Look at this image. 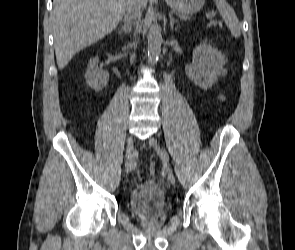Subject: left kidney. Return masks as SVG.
<instances>
[{
  "mask_svg": "<svg viewBox=\"0 0 295 250\" xmlns=\"http://www.w3.org/2000/svg\"><path fill=\"white\" fill-rule=\"evenodd\" d=\"M226 58L210 44L203 43L193 51L192 64L185 67L188 78L198 87L207 90L223 71Z\"/></svg>",
  "mask_w": 295,
  "mask_h": 250,
  "instance_id": "left-kidney-1",
  "label": "left kidney"
}]
</instances>
